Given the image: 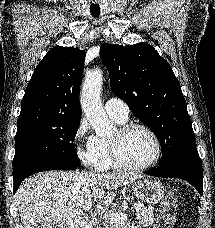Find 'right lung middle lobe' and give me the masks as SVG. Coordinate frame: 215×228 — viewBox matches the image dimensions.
Listing matches in <instances>:
<instances>
[{
    "instance_id": "1",
    "label": "right lung middle lobe",
    "mask_w": 215,
    "mask_h": 228,
    "mask_svg": "<svg viewBox=\"0 0 215 228\" xmlns=\"http://www.w3.org/2000/svg\"><path fill=\"white\" fill-rule=\"evenodd\" d=\"M79 123L80 120H60L17 127L13 170L38 162L80 166L74 146Z\"/></svg>"
}]
</instances>
